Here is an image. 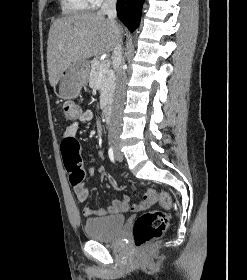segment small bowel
<instances>
[{
    "label": "small bowel",
    "mask_w": 247,
    "mask_h": 280,
    "mask_svg": "<svg viewBox=\"0 0 247 280\" xmlns=\"http://www.w3.org/2000/svg\"><path fill=\"white\" fill-rule=\"evenodd\" d=\"M93 118V113L91 111H83L80 112L79 117L77 118V121L67 125L63 132H62V137L63 140L65 139H75V136L79 130L80 123H88L92 120ZM87 176L88 178H91L93 176V168L88 167L87 168ZM77 199L81 203H85L87 198H88V190L87 191H74ZM155 202V200H147L146 197H144V200L135 205L132 209L133 210H141L145 207H148L152 205ZM130 209L129 205V199L127 196H122L118 199H115L112 204L107 208H97L93 209L90 207H84L83 208V215L86 217L90 216H105L107 214H117L119 212H126Z\"/></svg>",
    "instance_id": "1"
}]
</instances>
